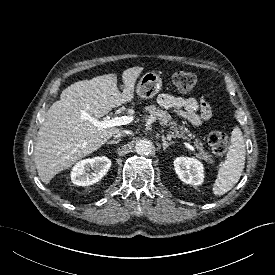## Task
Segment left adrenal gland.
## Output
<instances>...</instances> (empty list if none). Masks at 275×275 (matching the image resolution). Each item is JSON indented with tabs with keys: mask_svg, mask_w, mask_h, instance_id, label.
<instances>
[{
	"mask_svg": "<svg viewBox=\"0 0 275 275\" xmlns=\"http://www.w3.org/2000/svg\"><path fill=\"white\" fill-rule=\"evenodd\" d=\"M162 142H163L162 145H163L164 151H166L167 148L173 144V142H167L164 136H162Z\"/></svg>",
	"mask_w": 275,
	"mask_h": 275,
	"instance_id": "a2214340",
	"label": "left adrenal gland"
}]
</instances>
